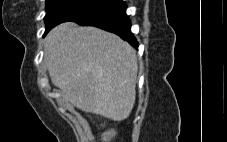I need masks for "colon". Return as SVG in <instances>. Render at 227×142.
<instances>
[{
    "mask_svg": "<svg viewBox=\"0 0 227 142\" xmlns=\"http://www.w3.org/2000/svg\"><path fill=\"white\" fill-rule=\"evenodd\" d=\"M114 136H115L114 132H112V131L106 132L102 135L101 141L102 142H110L114 139Z\"/></svg>",
    "mask_w": 227,
    "mask_h": 142,
    "instance_id": "colon-1",
    "label": "colon"
}]
</instances>
